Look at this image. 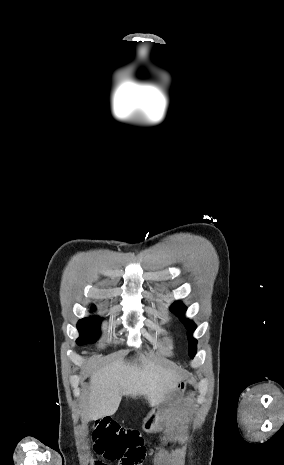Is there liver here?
<instances>
[{
	"label": "liver",
	"instance_id": "1",
	"mask_svg": "<svg viewBox=\"0 0 284 465\" xmlns=\"http://www.w3.org/2000/svg\"><path fill=\"white\" fill-rule=\"evenodd\" d=\"M176 367H163L145 355H137L132 361L117 359L106 367L96 369L91 375V391L88 393L84 417L97 421L116 413L121 397H144L150 407H156L176 391L182 381Z\"/></svg>",
	"mask_w": 284,
	"mask_h": 465
}]
</instances>
